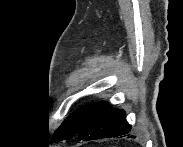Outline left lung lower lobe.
Segmentation results:
<instances>
[{
	"label": "left lung lower lobe",
	"instance_id": "left-lung-lower-lobe-1",
	"mask_svg": "<svg viewBox=\"0 0 183 147\" xmlns=\"http://www.w3.org/2000/svg\"><path fill=\"white\" fill-rule=\"evenodd\" d=\"M131 131L125 111L112 108L99 102L91 110L76 136L79 140L89 141L111 137H122Z\"/></svg>",
	"mask_w": 183,
	"mask_h": 147
}]
</instances>
